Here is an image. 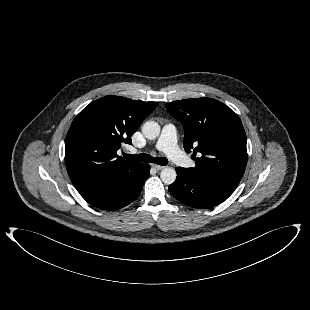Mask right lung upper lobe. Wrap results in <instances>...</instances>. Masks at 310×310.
<instances>
[{
	"label": "right lung upper lobe",
	"mask_w": 310,
	"mask_h": 310,
	"mask_svg": "<svg viewBox=\"0 0 310 310\" xmlns=\"http://www.w3.org/2000/svg\"><path fill=\"white\" fill-rule=\"evenodd\" d=\"M158 106L120 96H105L86 106L74 119L65 142V164L79 193L121 179L142 163L117 155Z\"/></svg>",
	"instance_id": "right-lung-upper-lobe-1"
}]
</instances>
